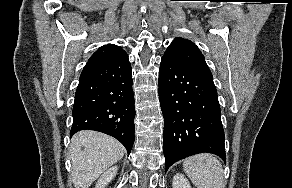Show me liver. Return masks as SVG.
<instances>
[{
	"instance_id": "obj_1",
	"label": "liver",
	"mask_w": 292,
	"mask_h": 188,
	"mask_svg": "<svg viewBox=\"0 0 292 188\" xmlns=\"http://www.w3.org/2000/svg\"><path fill=\"white\" fill-rule=\"evenodd\" d=\"M81 147L84 149L81 150ZM124 154L125 148L113 137L90 130L75 134L70 145L71 177L75 188H89Z\"/></svg>"
}]
</instances>
